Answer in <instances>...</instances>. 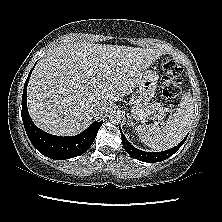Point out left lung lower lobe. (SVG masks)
Segmentation results:
<instances>
[{"mask_svg": "<svg viewBox=\"0 0 222 222\" xmlns=\"http://www.w3.org/2000/svg\"><path fill=\"white\" fill-rule=\"evenodd\" d=\"M120 132H121V137H122V143L127 153L131 155L133 158H136L137 160H140L143 162H160V161L166 160L167 158H169L171 155H173L174 153L178 151V149L182 146V144L185 142L187 138L186 137L181 143H179L177 146L169 150H166L163 152L151 153V152L141 151L135 148L134 146H132L126 139L125 135L122 133L121 129H120Z\"/></svg>", "mask_w": 222, "mask_h": 222, "instance_id": "left-lung-lower-lobe-1", "label": "left lung lower lobe"}]
</instances>
